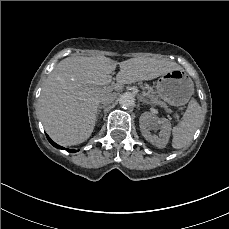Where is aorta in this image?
<instances>
[{
    "label": "aorta",
    "instance_id": "aorta-1",
    "mask_svg": "<svg viewBox=\"0 0 229 229\" xmlns=\"http://www.w3.org/2000/svg\"><path fill=\"white\" fill-rule=\"evenodd\" d=\"M119 104L122 108H133L135 106V97L133 94L126 92L119 98Z\"/></svg>",
    "mask_w": 229,
    "mask_h": 229
}]
</instances>
